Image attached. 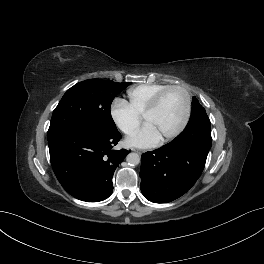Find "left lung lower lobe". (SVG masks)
<instances>
[{"label": "left lung lower lobe", "mask_w": 264, "mask_h": 264, "mask_svg": "<svg viewBox=\"0 0 264 264\" xmlns=\"http://www.w3.org/2000/svg\"><path fill=\"white\" fill-rule=\"evenodd\" d=\"M196 115L171 143L141 156L140 187L149 201H173L200 177L211 148V127L202 113Z\"/></svg>", "instance_id": "left-lung-lower-lobe-1"}]
</instances>
